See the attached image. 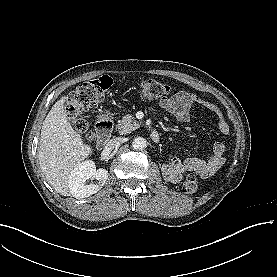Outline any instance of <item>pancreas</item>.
Returning <instances> with one entry per match:
<instances>
[{
  "label": "pancreas",
  "mask_w": 277,
  "mask_h": 277,
  "mask_svg": "<svg viewBox=\"0 0 277 277\" xmlns=\"http://www.w3.org/2000/svg\"><path fill=\"white\" fill-rule=\"evenodd\" d=\"M120 134H127L139 127V123L131 114L124 115L116 125Z\"/></svg>",
  "instance_id": "1"
}]
</instances>
